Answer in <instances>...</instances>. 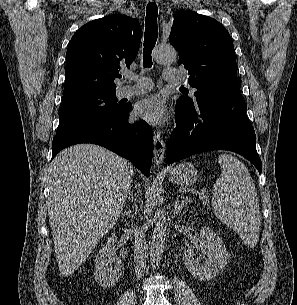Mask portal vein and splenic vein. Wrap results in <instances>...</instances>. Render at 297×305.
Instances as JSON below:
<instances>
[{
    "instance_id": "portal-vein-and-splenic-vein-1",
    "label": "portal vein and splenic vein",
    "mask_w": 297,
    "mask_h": 305,
    "mask_svg": "<svg viewBox=\"0 0 297 305\" xmlns=\"http://www.w3.org/2000/svg\"><path fill=\"white\" fill-rule=\"evenodd\" d=\"M197 194L202 201L207 202L208 197L205 195L204 192H197Z\"/></svg>"
}]
</instances>
